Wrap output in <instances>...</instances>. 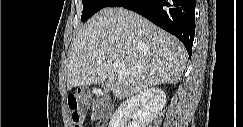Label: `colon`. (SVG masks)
<instances>
[{
    "label": "colon",
    "instance_id": "5ec220e1",
    "mask_svg": "<svg viewBox=\"0 0 243 127\" xmlns=\"http://www.w3.org/2000/svg\"><path fill=\"white\" fill-rule=\"evenodd\" d=\"M67 105L70 110L71 120L74 127L84 126V113L88 108V104L82 98L80 93H71L67 97ZM92 111V119H107L108 112L102 105L90 107Z\"/></svg>",
    "mask_w": 243,
    "mask_h": 127
}]
</instances>
